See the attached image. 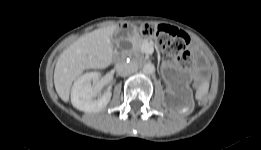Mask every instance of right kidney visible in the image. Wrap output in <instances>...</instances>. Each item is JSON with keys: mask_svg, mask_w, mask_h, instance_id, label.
Here are the masks:
<instances>
[{"mask_svg": "<svg viewBox=\"0 0 261 150\" xmlns=\"http://www.w3.org/2000/svg\"><path fill=\"white\" fill-rule=\"evenodd\" d=\"M99 78L98 72H90L80 76L74 82L71 90V102L75 108L91 113L101 111L107 106L112 93L107 90L96 98L101 89Z\"/></svg>", "mask_w": 261, "mask_h": 150, "instance_id": "ca27d5eb", "label": "right kidney"}]
</instances>
